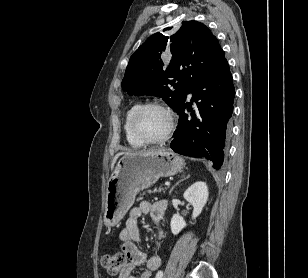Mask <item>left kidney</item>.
Returning <instances> with one entry per match:
<instances>
[{"mask_svg":"<svg viewBox=\"0 0 308 278\" xmlns=\"http://www.w3.org/2000/svg\"><path fill=\"white\" fill-rule=\"evenodd\" d=\"M208 195V187L205 182L201 181L194 183L184 192V198L193 206L192 219L201 214L208 200ZM170 226L172 233L177 235L186 227V223L180 215L174 214Z\"/></svg>","mask_w":308,"mask_h":278,"instance_id":"obj_1","label":"left kidney"}]
</instances>
